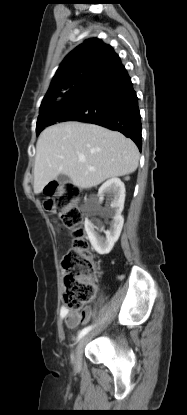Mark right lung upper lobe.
<instances>
[{
    "label": "right lung upper lobe",
    "instance_id": "right-lung-upper-lobe-1",
    "mask_svg": "<svg viewBox=\"0 0 187 415\" xmlns=\"http://www.w3.org/2000/svg\"><path fill=\"white\" fill-rule=\"evenodd\" d=\"M119 56L110 45L91 38L71 51L60 64L41 103V109L53 105L63 93L113 62Z\"/></svg>",
    "mask_w": 187,
    "mask_h": 415
}]
</instances>
